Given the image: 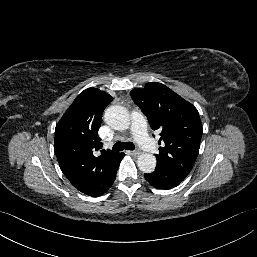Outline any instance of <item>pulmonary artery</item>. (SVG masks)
<instances>
[{
  "label": "pulmonary artery",
  "mask_w": 257,
  "mask_h": 257,
  "mask_svg": "<svg viewBox=\"0 0 257 257\" xmlns=\"http://www.w3.org/2000/svg\"><path fill=\"white\" fill-rule=\"evenodd\" d=\"M132 129L140 147L149 153L156 150L155 142L146 133V120L139 112L132 114Z\"/></svg>",
  "instance_id": "e3ab8cb5"
}]
</instances>
